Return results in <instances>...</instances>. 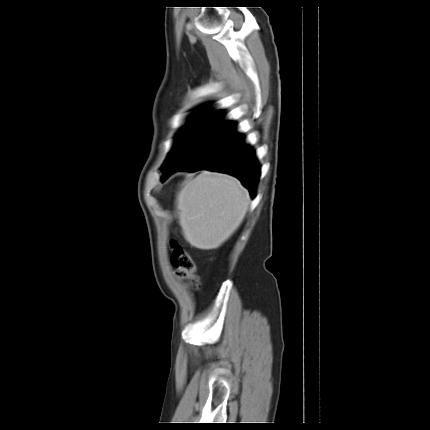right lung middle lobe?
<instances>
[{"label": "right lung middle lobe", "mask_w": 430, "mask_h": 430, "mask_svg": "<svg viewBox=\"0 0 430 430\" xmlns=\"http://www.w3.org/2000/svg\"><path fill=\"white\" fill-rule=\"evenodd\" d=\"M219 111L204 110L194 114L180 132L163 165V178L197 157L235 128L230 121H222Z\"/></svg>", "instance_id": "dd1d6c3e"}]
</instances>
